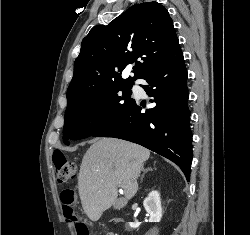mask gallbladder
I'll return each mask as SVG.
<instances>
[{"mask_svg": "<svg viewBox=\"0 0 250 235\" xmlns=\"http://www.w3.org/2000/svg\"><path fill=\"white\" fill-rule=\"evenodd\" d=\"M114 208L119 209V208H121V206L119 204H115Z\"/></svg>", "mask_w": 250, "mask_h": 235, "instance_id": "bac80fb5", "label": "gallbladder"}]
</instances>
